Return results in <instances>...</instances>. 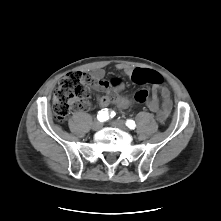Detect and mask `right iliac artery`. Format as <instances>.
<instances>
[{
    "label": "right iliac artery",
    "mask_w": 221,
    "mask_h": 221,
    "mask_svg": "<svg viewBox=\"0 0 221 221\" xmlns=\"http://www.w3.org/2000/svg\"><path fill=\"white\" fill-rule=\"evenodd\" d=\"M107 109H102L101 111L98 112L97 118L100 122L107 121L109 119L108 112L106 111Z\"/></svg>",
    "instance_id": "82829eb1"
}]
</instances>
